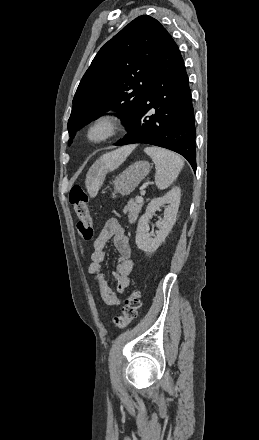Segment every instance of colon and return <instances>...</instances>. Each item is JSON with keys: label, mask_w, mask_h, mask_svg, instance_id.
<instances>
[{"label": "colon", "mask_w": 259, "mask_h": 440, "mask_svg": "<svg viewBox=\"0 0 259 440\" xmlns=\"http://www.w3.org/2000/svg\"><path fill=\"white\" fill-rule=\"evenodd\" d=\"M69 202L78 217L77 230L81 238L85 241L92 240L94 229L88 209V195L81 186L74 185L70 189ZM140 306V292L133 290L124 301L122 315L115 317V325L118 328L127 327L137 317Z\"/></svg>", "instance_id": "colon-1"}]
</instances>
